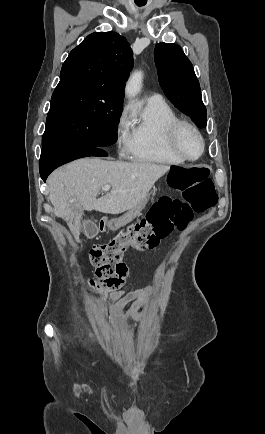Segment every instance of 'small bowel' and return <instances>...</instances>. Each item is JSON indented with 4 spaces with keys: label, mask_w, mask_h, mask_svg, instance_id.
Instances as JSON below:
<instances>
[{
    "label": "small bowel",
    "mask_w": 265,
    "mask_h": 434,
    "mask_svg": "<svg viewBox=\"0 0 265 434\" xmlns=\"http://www.w3.org/2000/svg\"><path fill=\"white\" fill-rule=\"evenodd\" d=\"M153 296L154 290L149 287L140 288L129 292L120 289L110 293L108 300L114 304L115 318H117L128 305L133 304L134 308L132 311V317L134 319H139V306L151 300Z\"/></svg>",
    "instance_id": "obj_1"
}]
</instances>
